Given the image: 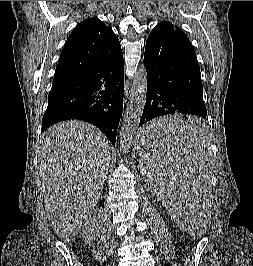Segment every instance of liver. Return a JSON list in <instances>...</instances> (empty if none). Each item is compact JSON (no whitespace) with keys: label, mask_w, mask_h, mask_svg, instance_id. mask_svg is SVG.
I'll return each mask as SVG.
<instances>
[{"label":"liver","mask_w":253,"mask_h":266,"mask_svg":"<svg viewBox=\"0 0 253 266\" xmlns=\"http://www.w3.org/2000/svg\"><path fill=\"white\" fill-rule=\"evenodd\" d=\"M39 155L48 219L59 238L73 242L100 198L109 141L93 125L72 120L43 134Z\"/></svg>","instance_id":"6515ba94"}]
</instances>
